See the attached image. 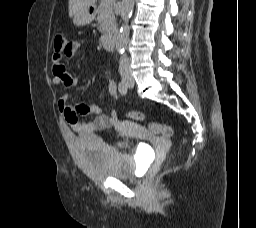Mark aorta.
<instances>
[{
  "instance_id": "1",
  "label": "aorta",
  "mask_w": 256,
  "mask_h": 228,
  "mask_svg": "<svg viewBox=\"0 0 256 228\" xmlns=\"http://www.w3.org/2000/svg\"><path fill=\"white\" fill-rule=\"evenodd\" d=\"M134 2L135 0H122L120 4V16L123 21V26L120 28L116 39V50L120 54L124 52L128 43L130 31L128 21L134 8Z\"/></svg>"
}]
</instances>
